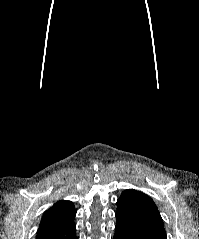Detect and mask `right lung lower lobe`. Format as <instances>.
<instances>
[{
  "instance_id": "obj_1",
  "label": "right lung lower lobe",
  "mask_w": 199,
  "mask_h": 239,
  "mask_svg": "<svg viewBox=\"0 0 199 239\" xmlns=\"http://www.w3.org/2000/svg\"><path fill=\"white\" fill-rule=\"evenodd\" d=\"M74 218L57 224L40 226L36 239H78Z\"/></svg>"
}]
</instances>
